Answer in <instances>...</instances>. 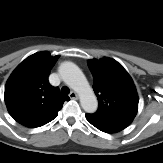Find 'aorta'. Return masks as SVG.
Returning <instances> with one entry per match:
<instances>
[{"label": "aorta", "instance_id": "obj_1", "mask_svg": "<svg viewBox=\"0 0 163 163\" xmlns=\"http://www.w3.org/2000/svg\"><path fill=\"white\" fill-rule=\"evenodd\" d=\"M59 74L63 81L79 94L80 104L84 111L94 113L97 110L98 102L79 67L72 62H64L59 67Z\"/></svg>", "mask_w": 163, "mask_h": 163}]
</instances>
